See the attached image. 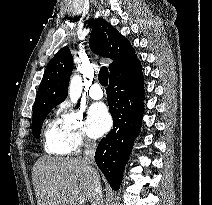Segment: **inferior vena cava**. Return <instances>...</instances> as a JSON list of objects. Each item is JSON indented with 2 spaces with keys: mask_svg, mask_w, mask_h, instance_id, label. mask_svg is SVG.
I'll return each mask as SVG.
<instances>
[{
  "mask_svg": "<svg viewBox=\"0 0 212 205\" xmlns=\"http://www.w3.org/2000/svg\"><path fill=\"white\" fill-rule=\"evenodd\" d=\"M84 145H85V150H84L83 161L89 165H93L95 162L94 156H95L97 144L95 141L87 138L85 139ZM93 170H94L95 193L92 199V205H104L103 193H102L101 183L99 181V175L97 174L95 168H93Z\"/></svg>",
  "mask_w": 212,
  "mask_h": 205,
  "instance_id": "inferior-vena-cava-1",
  "label": "inferior vena cava"
}]
</instances>
